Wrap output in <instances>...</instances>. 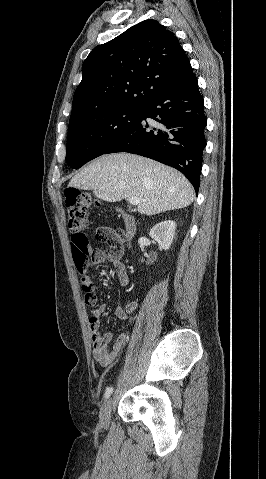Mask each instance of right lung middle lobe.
Here are the masks:
<instances>
[{
    "instance_id": "dd1d6c3e",
    "label": "right lung middle lobe",
    "mask_w": 266,
    "mask_h": 479,
    "mask_svg": "<svg viewBox=\"0 0 266 479\" xmlns=\"http://www.w3.org/2000/svg\"><path fill=\"white\" fill-rule=\"evenodd\" d=\"M143 107L120 108L69 122L66 162L78 169L103 155L141 118Z\"/></svg>"
}]
</instances>
